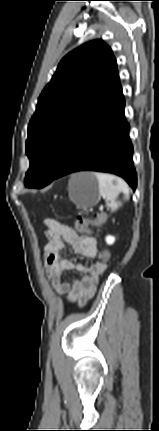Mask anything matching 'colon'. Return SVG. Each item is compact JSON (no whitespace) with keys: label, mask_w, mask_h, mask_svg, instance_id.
<instances>
[{"label":"colon","mask_w":159,"mask_h":431,"mask_svg":"<svg viewBox=\"0 0 159 431\" xmlns=\"http://www.w3.org/2000/svg\"><path fill=\"white\" fill-rule=\"evenodd\" d=\"M99 225V216L95 215L94 217H90L89 219H76V228L81 232H88L93 227ZM112 252L109 249L103 250L100 254V259H105L107 262L112 259Z\"/></svg>","instance_id":"1"}]
</instances>
